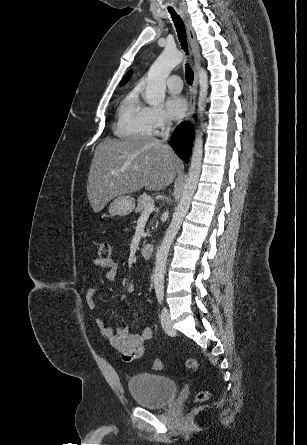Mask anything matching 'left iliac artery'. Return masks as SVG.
<instances>
[{
  "label": "left iliac artery",
  "instance_id": "left-iliac-artery-1",
  "mask_svg": "<svg viewBox=\"0 0 307 445\" xmlns=\"http://www.w3.org/2000/svg\"><path fill=\"white\" fill-rule=\"evenodd\" d=\"M156 296H157L158 302L161 304L163 302L164 291L162 289H157Z\"/></svg>",
  "mask_w": 307,
  "mask_h": 445
}]
</instances>
